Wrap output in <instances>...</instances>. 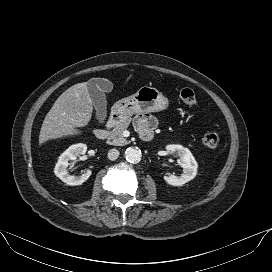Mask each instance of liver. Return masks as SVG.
Wrapping results in <instances>:
<instances>
[{
    "label": "liver",
    "mask_w": 272,
    "mask_h": 272,
    "mask_svg": "<svg viewBox=\"0 0 272 272\" xmlns=\"http://www.w3.org/2000/svg\"><path fill=\"white\" fill-rule=\"evenodd\" d=\"M93 111L87 82L64 91L47 113L39 134L40 146L53 139L79 135L78 128L88 125Z\"/></svg>",
    "instance_id": "obj_1"
}]
</instances>
